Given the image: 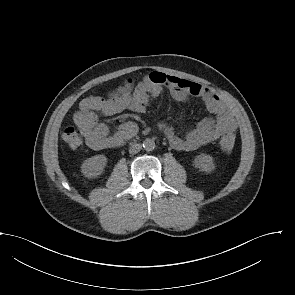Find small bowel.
<instances>
[{
	"mask_svg": "<svg viewBox=\"0 0 295 295\" xmlns=\"http://www.w3.org/2000/svg\"><path fill=\"white\" fill-rule=\"evenodd\" d=\"M167 87L173 99L185 101L189 96L201 98L212 115L201 120L192 130L181 136L169 125L161 129L173 149L193 151L211 143L226 132H235L237 124L220 98L210 89L173 75L152 72L139 82L127 80L107 97L89 96L81 100L74 114V123L84 138L86 145L93 150L117 147L137 133V125L128 121L110 134L108 127L98 122L97 113L112 116L125 110L143 113L149 98H157Z\"/></svg>",
	"mask_w": 295,
	"mask_h": 295,
	"instance_id": "obj_1",
	"label": "small bowel"
}]
</instances>
